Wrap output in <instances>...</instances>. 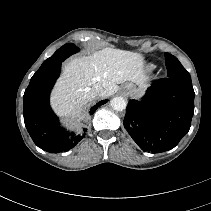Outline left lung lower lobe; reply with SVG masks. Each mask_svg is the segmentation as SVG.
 I'll list each match as a JSON object with an SVG mask.
<instances>
[{"mask_svg": "<svg viewBox=\"0 0 211 211\" xmlns=\"http://www.w3.org/2000/svg\"><path fill=\"white\" fill-rule=\"evenodd\" d=\"M194 95L191 80H157L141 101H129L124 127L143 151L171 150L190 129Z\"/></svg>", "mask_w": 211, "mask_h": 211, "instance_id": "obj_1", "label": "left lung lower lobe"}]
</instances>
